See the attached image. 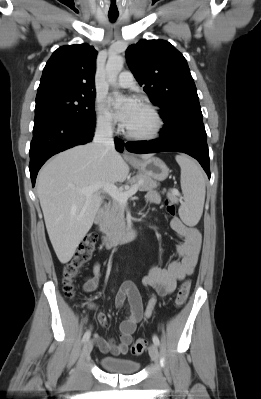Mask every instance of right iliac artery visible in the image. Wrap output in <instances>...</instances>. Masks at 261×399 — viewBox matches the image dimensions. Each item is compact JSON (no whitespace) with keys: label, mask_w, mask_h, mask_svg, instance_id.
<instances>
[{"label":"right iliac artery","mask_w":261,"mask_h":399,"mask_svg":"<svg viewBox=\"0 0 261 399\" xmlns=\"http://www.w3.org/2000/svg\"><path fill=\"white\" fill-rule=\"evenodd\" d=\"M90 335H91L90 330L86 331L85 334H84V336H83L82 341H83V342H86L87 340H89Z\"/></svg>","instance_id":"obj_1"}]
</instances>
